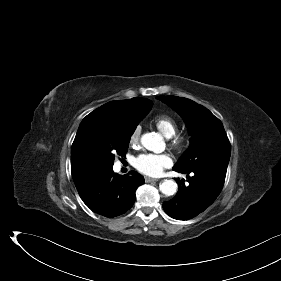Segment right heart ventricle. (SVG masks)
Returning a JSON list of instances; mask_svg holds the SVG:
<instances>
[{
    "label": "right heart ventricle",
    "instance_id": "obj_1",
    "mask_svg": "<svg viewBox=\"0 0 281 281\" xmlns=\"http://www.w3.org/2000/svg\"><path fill=\"white\" fill-rule=\"evenodd\" d=\"M153 122L157 129L167 138L173 137L178 130L175 120L165 114L156 116Z\"/></svg>",
    "mask_w": 281,
    "mask_h": 281
}]
</instances>
